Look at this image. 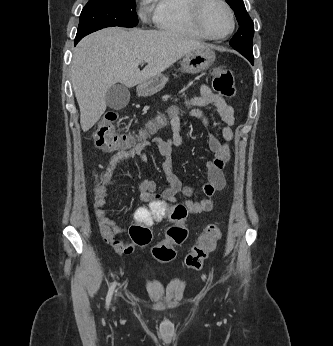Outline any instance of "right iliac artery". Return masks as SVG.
Wrapping results in <instances>:
<instances>
[{
    "label": "right iliac artery",
    "instance_id": "82829eb1",
    "mask_svg": "<svg viewBox=\"0 0 333 346\" xmlns=\"http://www.w3.org/2000/svg\"><path fill=\"white\" fill-rule=\"evenodd\" d=\"M115 287H116V282H114L111 285V287L109 288V291H108V294H107V297H106V308L109 307V304H110V301H111V298H112V295H113Z\"/></svg>",
    "mask_w": 333,
    "mask_h": 346
}]
</instances>
